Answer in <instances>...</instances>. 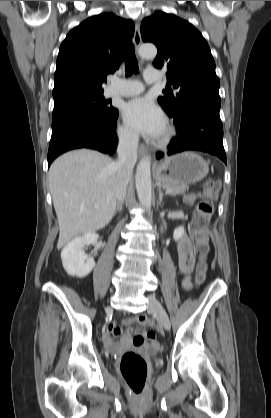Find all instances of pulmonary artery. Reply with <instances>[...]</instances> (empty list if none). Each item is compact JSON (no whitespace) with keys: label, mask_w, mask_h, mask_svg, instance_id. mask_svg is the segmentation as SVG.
Returning <instances> with one entry per match:
<instances>
[{"label":"pulmonary artery","mask_w":271,"mask_h":418,"mask_svg":"<svg viewBox=\"0 0 271 418\" xmlns=\"http://www.w3.org/2000/svg\"><path fill=\"white\" fill-rule=\"evenodd\" d=\"M144 79L147 83H157L161 76L156 69L148 68L144 72ZM143 84L137 80H119L113 79L112 85L107 90L108 96H135L143 91Z\"/></svg>","instance_id":"pulmonary-artery-1"}]
</instances>
